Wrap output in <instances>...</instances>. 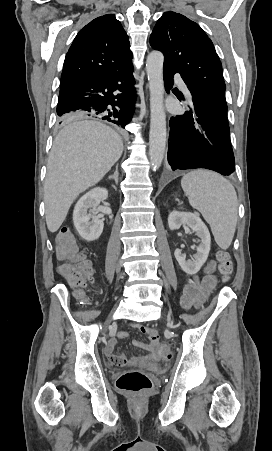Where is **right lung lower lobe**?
<instances>
[{
	"label": "right lung lower lobe",
	"mask_w": 272,
	"mask_h": 451,
	"mask_svg": "<svg viewBox=\"0 0 272 451\" xmlns=\"http://www.w3.org/2000/svg\"><path fill=\"white\" fill-rule=\"evenodd\" d=\"M132 72L131 60L106 75L60 87L58 123L96 118L125 129L135 108Z\"/></svg>",
	"instance_id": "98d812e1"
}]
</instances>
